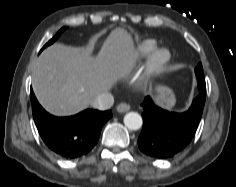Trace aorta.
I'll return each mask as SVG.
<instances>
[{
  "instance_id": "762f6f07",
  "label": "aorta",
  "mask_w": 236,
  "mask_h": 187,
  "mask_svg": "<svg viewBox=\"0 0 236 187\" xmlns=\"http://www.w3.org/2000/svg\"><path fill=\"white\" fill-rule=\"evenodd\" d=\"M142 123V117L137 112H129L124 116V124L130 130L140 129Z\"/></svg>"
}]
</instances>
